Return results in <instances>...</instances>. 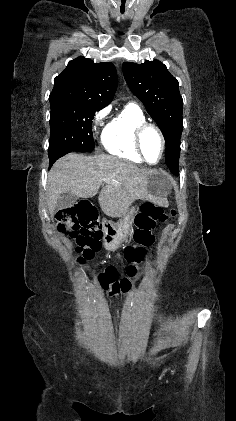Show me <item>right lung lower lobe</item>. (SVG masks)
<instances>
[{
  "mask_svg": "<svg viewBox=\"0 0 236 421\" xmlns=\"http://www.w3.org/2000/svg\"><path fill=\"white\" fill-rule=\"evenodd\" d=\"M50 160V159H49ZM55 161H53V160H50V167L52 166V164L54 163Z\"/></svg>",
  "mask_w": 236,
  "mask_h": 421,
  "instance_id": "98d812e1",
  "label": "right lung lower lobe"
}]
</instances>
